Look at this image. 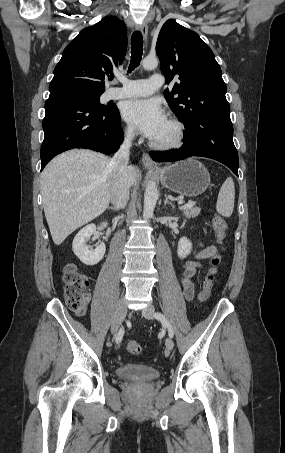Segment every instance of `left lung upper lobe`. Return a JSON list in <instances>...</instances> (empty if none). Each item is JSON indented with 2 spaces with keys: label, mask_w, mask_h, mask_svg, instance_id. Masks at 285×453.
<instances>
[{
  "label": "left lung upper lobe",
  "mask_w": 285,
  "mask_h": 453,
  "mask_svg": "<svg viewBox=\"0 0 285 453\" xmlns=\"http://www.w3.org/2000/svg\"><path fill=\"white\" fill-rule=\"evenodd\" d=\"M156 53L166 82L174 77L180 79L170 93L166 89L164 94L184 124L202 117L230 119V105L225 97L227 88L220 66L197 33L168 20L159 32Z\"/></svg>",
  "instance_id": "5c2ea615"
}]
</instances>
